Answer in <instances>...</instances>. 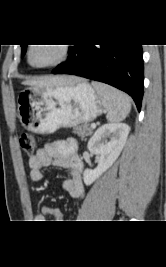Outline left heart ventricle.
<instances>
[{
    "label": "left heart ventricle",
    "mask_w": 166,
    "mask_h": 267,
    "mask_svg": "<svg viewBox=\"0 0 166 267\" xmlns=\"http://www.w3.org/2000/svg\"><path fill=\"white\" fill-rule=\"evenodd\" d=\"M60 50L55 44H38L31 52V62L35 65L50 63L58 58Z\"/></svg>",
    "instance_id": "left-heart-ventricle-1"
}]
</instances>
